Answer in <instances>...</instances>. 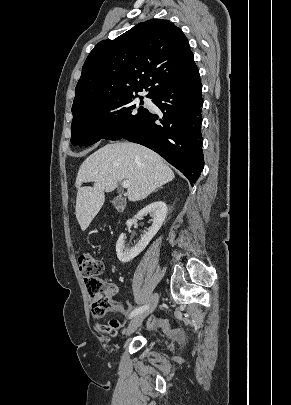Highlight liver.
<instances>
[{
	"label": "liver",
	"instance_id": "1",
	"mask_svg": "<svg viewBox=\"0 0 291 405\" xmlns=\"http://www.w3.org/2000/svg\"><path fill=\"white\" fill-rule=\"evenodd\" d=\"M175 175L154 151L130 142L111 143L91 154L80 166L75 186L78 190L75 214L81 230L88 228L105 201V192L128 180L129 201L145 199ZM94 182L93 187H81Z\"/></svg>",
	"mask_w": 291,
	"mask_h": 405
}]
</instances>
